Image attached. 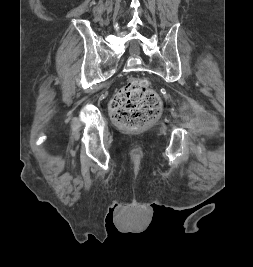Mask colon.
<instances>
[{
	"label": "colon",
	"mask_w": 253,
	"mask_h": 267,
	"mask_svg": "<svg viewBox=\"0 0 253 267\" xmlns=\"http://www.w3.org/2000/svg\"><path fill=\"white\" fill-rule=\"evenodd\" d=\"M162 103L145 79L133 77L121 87L110 104L114 122L128 130H139L160 113Z\"/></svg>",
	"instance_id": "1"
}]
</instances>
